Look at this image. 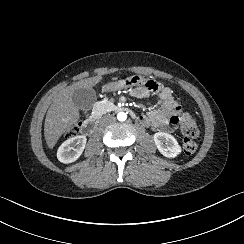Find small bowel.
<instances>
[{"label":"small bowel","mask_w":244,"mask_h":244,"mask_svg":"<svg viewBox=\"0 0 244 244\" xmlns=\"http://www.w3.org/2000/svg\"><path fill=\"white\" fill-rule=\"evenodd\" d=\"M129 94L139 99L150 96H154L156 99V110L137 117L142 126H153L158 131L166 132L172 125L177 123L181 105L169 87L156 81L150 86L136 87L134 90L129 91Z\"/></svg>","instance_id":"small-bowel-1"}]
</instances>
